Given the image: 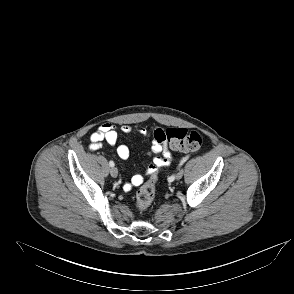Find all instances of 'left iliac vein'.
I'll list each match as a JSON object with an SVG mask.
<instances>
[{
  "label": "left iliac vein",
  "mask_w": 294,
  "mask_h": 294,
  "mask_svg": "<svg viewBox=\"0 0 294 294\" xmlns=\"http://www.w3.org/2000/svg\"><path fill=\"white\" fill-rule=\"evenodd\" d=\"M182 176H183V171L180 170V171L174 176V179L179 180V179L182 178Z\"/></svg>",
  "instance_id": "4c4485c4"
}]
</instances>
